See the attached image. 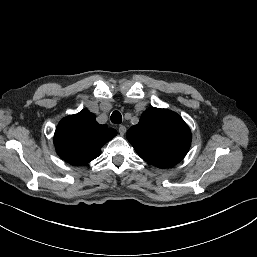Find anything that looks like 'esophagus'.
Listing matches in <instances>:
<instances>
[{"label":"esophagus","mask_w":257,"mask_h":257,"mask_svg":"<svg viewBox=\"0 0 257 257\" xmlns=\"http://www.w3.org/2000/svg\"><path fill=\"white\" fill-rule=\"evenodd\" d=\"M119 133L123 136L126 133V127L124 125L119 126Z\"/></svg>","instance_id":"obj_1"}]
</instances>
